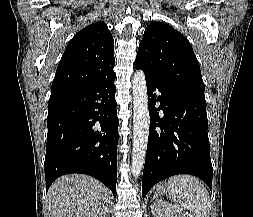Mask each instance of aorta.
Segmentation results:
<instances>
[{
    "label": "aorta",
    "mask_w": 253,
    "mask_h": 217,
    "mask_svg": "<svg viewBox=\"0 0 253 217\" xmlns=\"http://www.w3.org/2000/svg\"><path fill=\"white\" fill-rule=\"evenodd\" d=\"M133 91V147L131 169L135 178L144 167L150 126L145 74L136 71L132 80Z\"/></svg>",
    "instance_id": "obj_1"
}]
</instances>
